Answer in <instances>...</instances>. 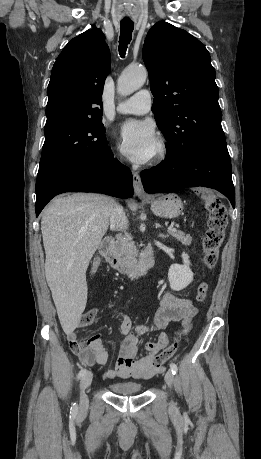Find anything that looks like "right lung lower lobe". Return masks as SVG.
Here are the masks:
<instances>
[{
  "label": "right lung lower lobe",
  "instance_id": "98d812e1",
  "mask_svg": "<svg viewBox=\"0 0 261 459\" xmlns=\"http://www.w3.org/2000/svg\"><path fill=\"white\" fill-rule=\"evenodd\" d=\"M64 192H98L119 198L133 196L131 171L113 158L66 166L36 183V216L56 195Z\"/></svg>",
  "mask_w": 261,
  "mask_h": 459
}]
</instances>
